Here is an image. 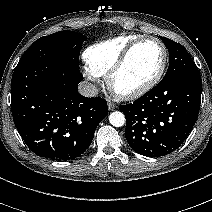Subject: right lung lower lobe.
Returning a JSON list of instances; mask_svg holds the SVG:
<instances>
[{
	"label": "right lung lower lobe",
	"mask_w": 212,
	"mask_h": 212,
	"mask_svg": "<svg viewBox=\"0 0 212 212\" xmlns=\"http://www.w3.org/2000/svg\"><path fill=\"white\" fill-rule=\"evenodd\" d=\"M79 68L42 61L14 70L12 116L25 144L40 157L70 160L89 147L107 102L78 93Z\"/></svg>",
	"instance_id": "obj_1"
}]
</instances>
